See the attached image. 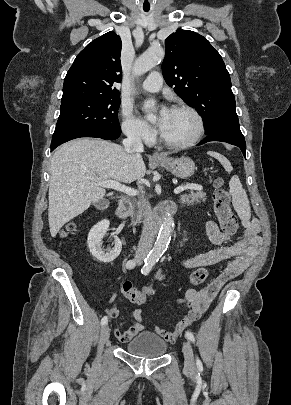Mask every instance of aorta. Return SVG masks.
<instances>
[{
  "instance_id": "1",
  "label": "aorta",
  "mask_w": 291,
  "mask_h": 405,
  "mask_svg": "<svg viewBox=\"0 0 291 405\" xmlns=\"http://www.w3.org/2000/svg\"><path fill=\"white\" fill-rule=\"evenodd\" d=\"M165 56V51L161 46H153L146 50L142 55H140L134 63L133 73L136 76H140L157 64H159ZM174 221L173 218L168 214L160 227L157 240L149 252L148 259L150 261H157L167 249L171 235L173 231Z\"/></svg>"
}]
</instances>
